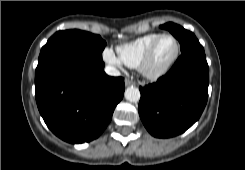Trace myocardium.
I'll use <instances>...</instances> for the list:
<instances>
[{"label": "myocardium", "mask_w": 245, "mask_h": 170, "mask_svg": "<svg viewBox=\"0 0 245 170\" xmlns=\"http://www.w3.org/2000/svg\"><path fill=\"white\" fill-rule=\"evenodd\" d=\"M170 38L174 43V51L171 57L160 67L152 68L151 61L154 56L157 45L163 38ZM179 56V44L174 35L165 33L160 34L147 48L138 65L139 72L147 79L157 80L165 76L173 67Z\"/></svg>", "instance_id": "myocardium-1"}]
</instances>
